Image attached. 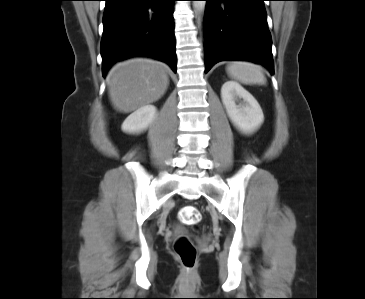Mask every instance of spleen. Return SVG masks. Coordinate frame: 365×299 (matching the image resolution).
Wrapping results in <instances>:
<instances>
[{"instance_id":"1","label":"spleen","mask_w":365,"mask_h":299,"mask_svg":"<svg viewBox=\"0 0 365 299\" xmlns=\"http://www.w3.org/2000/svg\"><path fill=\"white\" fill-rule=\"evenodd\" d=\"M228 75L243 84H265L266 78L260 68L250 62L234 61L227 68Z\"/></svg>"}]
</instances>
